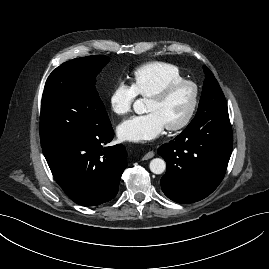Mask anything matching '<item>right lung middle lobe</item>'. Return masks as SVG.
Segmentation results:
<instances>
[{"label": "right lung middle lobe", "instance_id": "dd1d6c3e", "mask_svg": "<svg viewBox=\"0 0 269 269\" xmlns=\"http://www.w3.org/2000/svg\"><path fill=\"white\" fill-rule=\"evenodd\" d=\"M107 56H87L61 64L48 77L41 103L42 150L63 145L111 126L95 89Z\"/></svg>", "mask_w": 269, "mask_h": 269}]
</instances>
